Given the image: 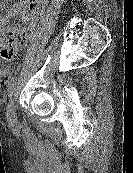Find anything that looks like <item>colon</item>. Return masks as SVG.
<instances>
[{
  "mask_svg": "<svg viewBox=\"0 0 133 173\" xmlns=\"http://www.w3.org/2000/svg\"><path fill=\"white\" fill-rule=\"evenodd\" d=\"M23 43L21 35H15L8 46L0 49V83H5L19 59L18 50Z\"/></svg>",
  "mask_w": 133,
  "mask_h": 173,
  "instance_id": "obj_1",
  "label": "colon"
}]
</instances>
